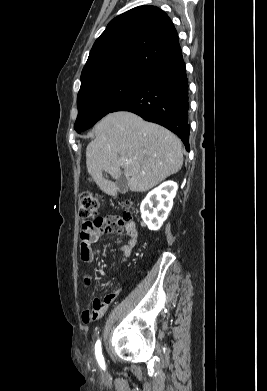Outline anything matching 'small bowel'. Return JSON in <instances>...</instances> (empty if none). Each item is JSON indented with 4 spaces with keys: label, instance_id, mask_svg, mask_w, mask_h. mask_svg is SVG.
<instances>
[{
    "label": "small bowel",
    "instance_id": "1",
    "mask_svg": "<svg viewBox=\"0 0 267 391\" xmlns=\"http://www.w3.org/2000/svg\"><path fill=\"white\" fill-rule=\"evenodd\" d=\"M124 230L127 236L125 244L120 245L119 249L123 252L122 262H125L131 255L132 250L138 241V231L133 221H128L124 224H120L117 218L114 216L101 217L99 222H88L83 225V232L81 238L85 237L88 241L87 250L81 248V258L85 262L93 260L92 245L104 234L113 233L115 231ZM109 275L105 274L106 278ZM119 291L114 290L111 293L106 294L102 299L95 298L93 306L90 309H86L82 313V321L85 323L98 319L103 315L109 303L118 295Z\"/></svg>",
    "mask_w": 267,
    "mask_h": 391
}]
</instances>
